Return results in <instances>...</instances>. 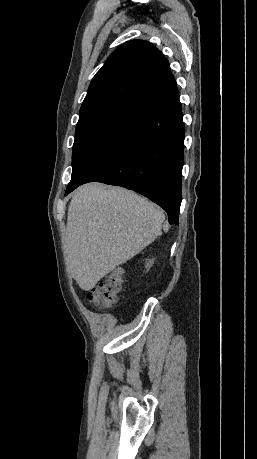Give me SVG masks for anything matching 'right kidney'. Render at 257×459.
<instances>
[{
    "mask_svg": "<svg viewBox=\"0 0 257 459\" xmlns=\"http://www.w3.org/2000/svg\"><path fill=\"white\" fill-rule=\"evenodd\" d=\"M152 264H153V261L149 260L145 265L146 269L148 270L152 266Z\"/></svg>",
    "mask_w": 257,
    "mask_h": 459,
    "instance_id": "ca27d5eb",
    "label": "right kidney"
}]
</instances>
